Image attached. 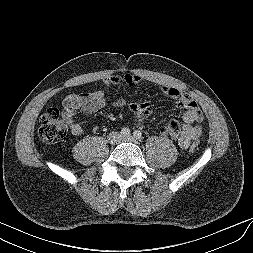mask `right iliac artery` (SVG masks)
<instances>
[{
  "mask_svg": "<svg viewBox=\"0 0 253 253\" xmlns=\"http://www.w3.org/2000/svg\"><path fill=\"white\" fill-rule=\"evenodd\" d=\"M120 133H121V135L124 136V137H125V136H129V135H130V130H129V128H126V127H125V128H122V130H121Z\"/></svg>",
  "mask_w": 253,
  "mask_h": 253,
  "instance_id": "obj_1",
  "label": "right iliac artery"
}]
</instances>
